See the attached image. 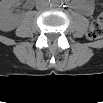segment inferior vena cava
I'll return each instance as SVG.
<instances>
[{"label": "inferior vena cava", "instance_id": "1", "mask_svg": "<svg viewBox=\"0 0 103 103\" xmlns=\"http://www.w3.org/2000/svg\"><path fill=\"white\" fill-rule=\"evenodd\" d=\"M49 6V3L46 0H39L36 2V8L38 10L46 9Z\"/></svg>", "mask_w": 103, "mask_h": 103}]
</instances>
